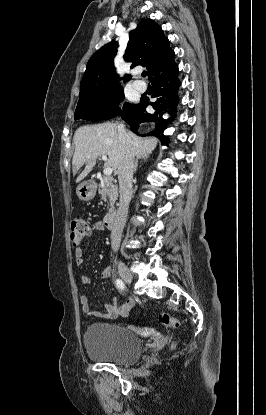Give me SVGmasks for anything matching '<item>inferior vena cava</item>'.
I'll list each match as a JSON object with an SVG mask.
<instances>
[{
    "label": "inferior vena cava",
    "instance_id": "602c4592",
    "mask_svg": "<svg viewBox=\"0 0 266 415\" xmlns=\"http://www.w3.org/2000/svg\"><path fill=\"white\" fill-rule=\"evenodd\" d=\"M118 134L121 147V158L117 170L120 200L111 231V247L114 251H117L120 246L132 195V179L134 172V153L131 146V139L127 135L123 124L118 125Z\"/></svg>",
    "mask_w": 266,
    "mask_h": 415
}]
</instances>
